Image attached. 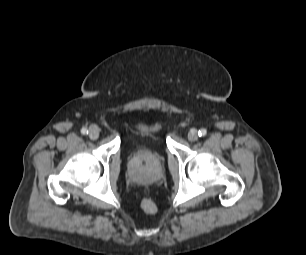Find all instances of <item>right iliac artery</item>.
<instances>
[{
  "instance_id": "right-iliac-artery-1",
  "label": "right iliac artery",
  "mask_w": 306,
  "mask_h": 255,
  "mask_svg": "<svg viewBox=\"0 0 306 255\" xmlns=\"http://www.w3.org/2000/svg\"><path fill=\"white\" fill-rule=\"evenodd\" d=\"M81 133L84 134V135L88 134L87 128H82Z\"/></svg>"
}]
</instances>
